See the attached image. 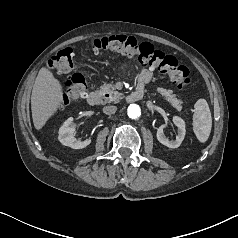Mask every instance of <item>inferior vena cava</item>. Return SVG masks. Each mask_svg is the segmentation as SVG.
<instances>
[{
  "mask_svg": "<svg viewBox=\"0 0 238 238\" xmlns=\"http://www.w3.org/2000/svg\"><path fill=\"white\" fill-rule=\"evenodd\" d=\"M117 111V107L113 105H108L103 108V113L107 115L114 114Z\"/></svg>",
  "mask_w": 238,
  "mask_h": 238,
  "instance_id": "inferior-vena-cava-1",
  "label": "inferior vena cava"
}]
</instances>
